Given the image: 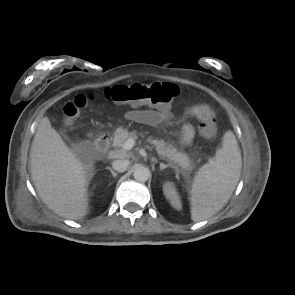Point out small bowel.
Listing matches in <instances>:
<instances>
[{"instance_id":"c3829d8e","label":"small bowel","mask_w":295,"mask_h":295,"mask_svg":"<svg viewBox=\"0 0 295 295\" xmlns=\"http://www.w3.org/2000/svg\"><path fill=\"white\" fill-rule=\"evenodd\" d=\"M188 115L192 118H195L200 121L207 120L209 118H214L215 113L213 108L206 103H200L193 106L190 110ZM124 117L127 120L146 124L150 126H157L166 121H168L172 117V112L166 109H147V110H139L133 109L127 111L124 114ZM195 134L194 126L187 122L182 126L179 142L183 146H188L192 143Z\"/></svg>"}]
</instances>
